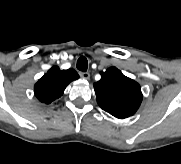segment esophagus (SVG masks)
Instances as JSON below:
<instances>
[{"instance_id": "obj_1", "label": "esophagus", "mask_w": 181, "mask_h": 164, "mask_svg": "<svg viewBox=\"0 0 181 164\" xmlns=\"http://www.w3.org/2000/svg\"><path fill=\"white\" fill-rule=\"evenodd\" d=\"M79 74L83 79H89L90 78V74L88 72H80Z\"/></svg>"}]
</instances>
